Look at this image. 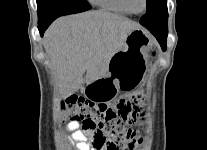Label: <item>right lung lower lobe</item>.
Returning <instances> with one entry per match:
<instances>
[{
    "instance_id": "obj_1",
    "label": "right lung lower lobe",
    "mask_w": 207,
    "mask_h": 150,
    "mask_svg": "<svg viewBox=\"0 0 207 150\" xmlns=\"http://www.w3.org/2000/svg\"><path fill=\"white\" fill-rule=\"evenodd\" d=\"M56 18H49L45 20L38 21V29L40 32V35L43 36L45 30L48 28V26L55 20Z\"/></svg>"
}]
</instances>
